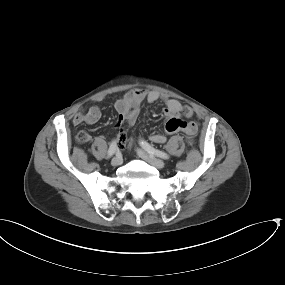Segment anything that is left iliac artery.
<instances>
[{
  "instance_id": "left-iliac-artery-1",
  "label": "left iliac artery",
  "mask_w": 285,
  "mask_h": 285,
  "mask_svg": "<svg viewBox=\"0 0 285 285\" xmlns=\"http://www.w3.org/2000/svg\"><path fill=\"white\" fill-rule=\"evenodd\" d=\"M140 145L149 153L152 155H156L157 157H160L162 159H169V155L165 153L164 151L158 150L151 146L149 143H147L144 140L140 141Z\"/></svg>"
}]
</instances>
